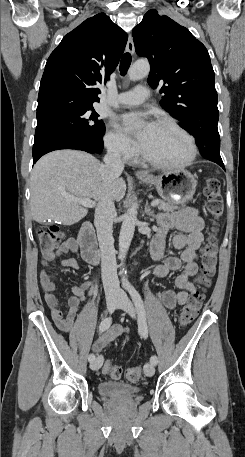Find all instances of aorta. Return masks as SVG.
Listing matches in <instances>:
<instances>
[{
	"instance_id": "762f6f07",
	"label": "aorta",
	"mask_w": 245,
	"mask_h": 457,
	"mask_svg": "<svg viewBox=\"0 0 245 457\" xmlns=\"http://www.w3.org/2000/svg\"><path fill=\"white\" fill-rule=\"evenodd\" d=\"M150 65L147 60H138L136 61L129 69L128 76L132 81L140 80L146 77L149 74ZM137 222V211L135 208L131 207L127 210L124 215L120 235H119V259L121 260V274H122V283L124 285L128 284L124 272V261L126 258L127 251L130 247L135 225Z\"/></svg>"
}]
</instances>
